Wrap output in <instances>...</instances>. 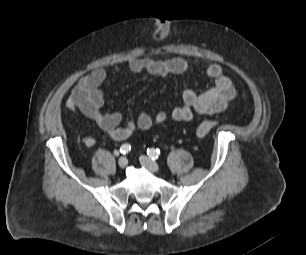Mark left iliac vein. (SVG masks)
Listing matches in <instances>:
<instances>
[{
	"label": "left iliac vein",
	"instance_id": "1",
	"mask_svg": "<svg viewBox=\"0 0 306 255\" xmlns=\"http://www.w3.org/2000/svg\"><path fill=\"white\" fill-rule=\"evenodd\" d=\"M140 163L142 166H144L146 169L152 172L160 171L159 165L150 158H148L147 156H140Z\"/></svg>",
	"mask_w": 306,
	"mask_h": 255
}]
</instances>
